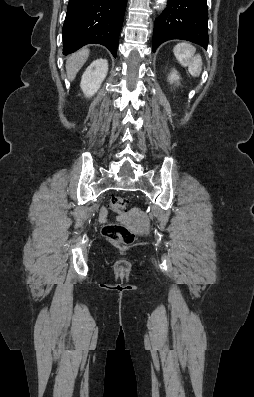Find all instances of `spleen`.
Here are the masks:
<instances>
[{
	"label": "spleen",
	"mask_w": 254,
	"mask_h": 397,
	"mask_svg": "<svg viewBox=\"0 0 254 397\" xmlns=\"http://www.w3.org/2000/svg\"><path fill=\"white\" fill-rule=\"evenodd\" d=\"M195 47L189 43H178L174 49V55L179 63L188 66V71L193 77H198L202 71V59L199 54L195 55Z\"/></svg>",
	"instance_id": "obj_1"
}]
</instances>
